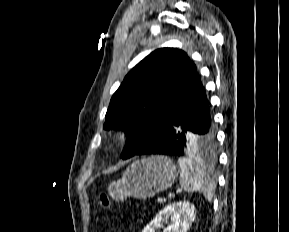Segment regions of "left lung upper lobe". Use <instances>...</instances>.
I'll list each match as a JSON object with an SVG mask.
<instances>
[{
	"label": "left lung upper lobe",
	"instance_id": "1",
	"mask_svg": "<svg viewBox=\"0 0 289 232\" xmlns=\"http://www.w3.org/2000/svg\"><path fill=\"white\" fill-rule=\"evenodd\" d=\"M187 54L174 48L153 51L124 78L111 98L105 129L128 132L122 159L134 156L168 123L181 100L199 81ZM215 149V142L209 151Z\"/></svg>",
	"mask_w": 289,
	"mask_h": 232
}]
</instances>
